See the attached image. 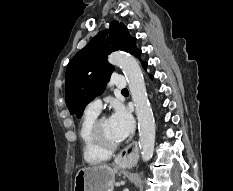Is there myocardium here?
Listing matches in <instances>:
<instances>
[{
    "instance_id": "obj_1",
    "label": "myocardium",
    "mask_w": 233,
    "mask_h": 191,
    "mask_svg": "<svg viewBox=\"0 0 233 191\" xmlns=\"http://www.w3.org/2000/svg\"><path fill=\"white\" fill-rule=\"evenodd\" d=\"M105 119L107 118L104 116L96 118L91 128V137L98 148L106 152H113L119 147L120 142L111 143L104 138L101 131V124Z\"/></svg>"
}]
</instances>
